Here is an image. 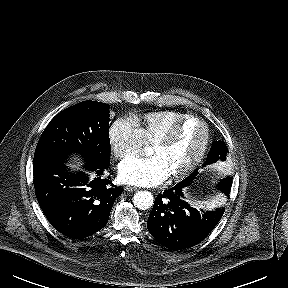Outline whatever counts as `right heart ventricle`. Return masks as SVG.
<instances>
[{"instance_id":"right-heart-ventricle-1","label":"right heart ventricle","mask_w":288,"mask_h":288,"mask_svg":"<svg viewBox=\"0 0 288 288\" xmlns=\"http://www.w3.org/2000/svg\"><path fill=\"white\" fill-rule=\"evenodd\" d=\"M189 114L176 110L150 112L134 120L145 142L153 143L171 125Z\"/></svg>"}]
</instances>
